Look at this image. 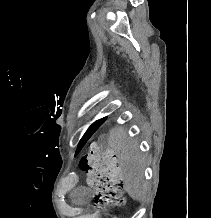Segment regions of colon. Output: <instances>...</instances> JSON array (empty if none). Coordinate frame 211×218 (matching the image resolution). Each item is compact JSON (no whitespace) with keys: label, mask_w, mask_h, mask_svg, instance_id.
<instances>
[{"label":"colon","mask_w":211,"mask_h":218,"mask_svg":"<svg viewBox=\"0 0 211 218\" xmlns=\"http://www.w3.org/2000/svg\"><path fill=\"white\" fill-rule=\"evenodd\" d=\"M80 168L87 173L88 183L96 191L98 205H124V180L116 155L112 151L92 145L81 158Z\"/></svg>","instance_id":"colon-1"}]
</instances>
